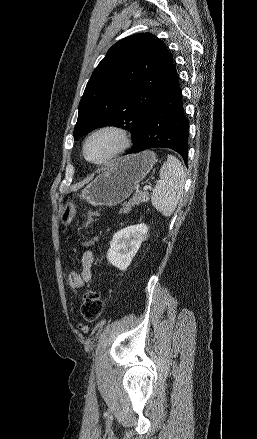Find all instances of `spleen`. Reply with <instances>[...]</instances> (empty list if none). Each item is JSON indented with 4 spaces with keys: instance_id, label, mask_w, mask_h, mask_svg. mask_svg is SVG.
I'll use <instances>...</instances> for the list:
<instances>
[{
    "instance_id": "spleen-1",
    "label": "spleen",
    "mask_w": 257,
    "mask_h": 439,
    "mask_svg": "<svg viewBox=\"0 0 257 439\" xmlns=\"http://www.w3.org/2000/svg\"><path fill=\"white\" fill-rule=\"evenodd\" d=\"M186 174L180 161L168 155L160 169V180L151 195L153 207L163 216L169 217L175 211L183 193Z\"/></svg>"
}]
</instances>
